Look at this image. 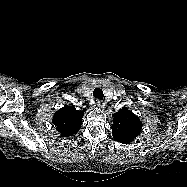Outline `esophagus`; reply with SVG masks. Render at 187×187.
Listing matches in <instances>:
<instances>
[{
  "label": "esophagus",
  "mask_w": 187,
  "mask_h": 187,
  "mask_svg": "<svg viewBox=\"0 0 187 187\" xmlns=\"http://www.w3.org/2000/svg\"><path fill=\"white\" fill-rule=\"evenodd\" d=\"M96 106H97L98 108L103 109V108L105 107V104H104L102 101L97 100V102H96Z\"/></svg>",
  "instance_id": "1"
}]
</instances>
